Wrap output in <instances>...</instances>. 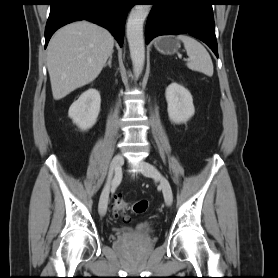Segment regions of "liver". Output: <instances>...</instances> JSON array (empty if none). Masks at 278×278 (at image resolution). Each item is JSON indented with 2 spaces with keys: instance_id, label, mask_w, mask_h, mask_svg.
Wrapping results in <instances>:
<instances>
[{
  "instance_id": "1",
  "label": "liver",
  "mask_w": 278,
  "mask_h": 278,
  "mask_svg": "<svg viewBox=\"0 0 278 278\" xmlns=\"http://www.w3.org/2000/svg\"><path fill=\"white\" fill-rule=\"evenodd\" d=\"M114 38L106 29L78 21L59 29L47 49L53 98L60 100L92 82L113 53Z\"/></svg>"
}]
</instances>
